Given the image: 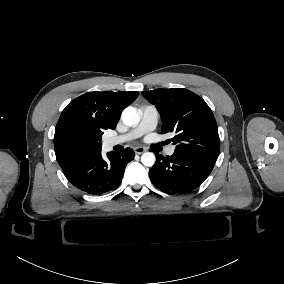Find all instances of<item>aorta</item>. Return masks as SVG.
<instances>
[{"label": "aorta", "mask_w": 284, "mask_h": 284, "mask_svg": "<svg viewBox=\"0 0 284 284\" xmlns=\"http://www.w3.org/2000/svg\"><path fill=\"white\" fill-rule=\"evenodd\" d=\"M122 121L127 126H136L140 122V115L136 108L127 107L122 112ZM155 155L152 152H145L141 156V162L147 167H152L155 163Z\"/></svg>", "instance_id": "762f6f07"}]
</instances>
